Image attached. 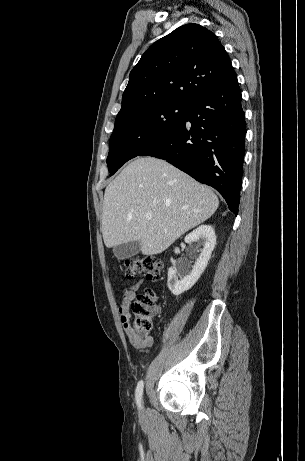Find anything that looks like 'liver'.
Masks as SVG:
<instances>
[{
  "label": "liver",
  "mask_w": 305,
  "mask_h": 461,
  "mask_svg": "<svg viewBox=\"0 0 305 461\" xmlns=\"http://www.w3.org/2000/svg\"><path fill=\"white\" fill-rule=\"evenodd\" d=\"M218 206L214 192L184 172L161 159L138 157L105 189L104 243L112 248L138 240L144 255L159 254Z\"/></svg>",
  "instance_id": "obj_1"
}]
</instances>
